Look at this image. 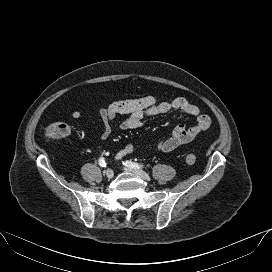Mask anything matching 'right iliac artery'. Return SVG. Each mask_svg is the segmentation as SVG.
I'll return each instance as SVG.
<instances>
[{
  "instance_id": "82829eb1",
  "label": "right iliac artery",
  "mask_w": 272,
  "mask_h": 272,
  "mask_svg": "<svg viewBox=\"0 0 272 272\" xmlns=\"http://www.w3.org/2000/svg\"><path fill=\"white\" fill-rule=\"evenodd\" d=\"M99 165L101 167H105L106 166V161L103 157L99 158Z\"/></svg>"
}]
</instances>
